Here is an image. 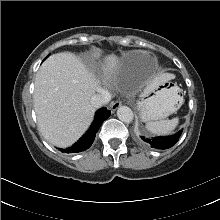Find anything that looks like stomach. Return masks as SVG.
Here are the masks:
<instances>
[{
  "label": "stomach",
  "mask_w": 220,
  "mask_h": 220,
  "mask_svg": "<svg viewBox=\"0 0 220 220\" xmlns=\"http://www.w3.org/2000/svg\"><path fill=\"white\" fill-rule=\"evenodd\" d=\"M179 87L169 81L162 82L156 86L149 96L139 102L140 115L144 121L162 120L175 113L183 103Z\"/></svg>",
  "instance_id": "obj_1"
}]
</instances>
